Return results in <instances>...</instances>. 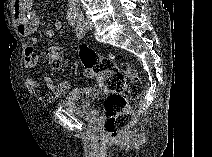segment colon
I'll return each instance as SVG.
<instances>
[{
  "label": "colon",
  "mask_w": 212,
  "mask_h": 157,
  "mask_svg": "<svg viewBox=\"0 0 212 157\" xmlns=\"http://www.w3.org/2000/svg\"><path fill=\"white\" fill-rule=\"evenodd\" d=\"M75 50L86 75L93 78L96 85L109 95L105 131L109 137L117 138L132 121L129 101L137 99L142 90L137 72L127 62L118 60L111 54L98 55L87 45H78ZM46 58L52 69H60L63 49L58 46L48 48Z\"/></svg>",
  "instance_id": "5ec220e1"
}]
</instances>
